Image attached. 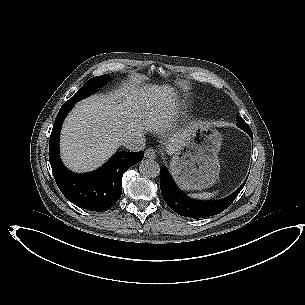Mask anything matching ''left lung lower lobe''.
Here are the masks:
<instances>
[{
    "instance_id": "left-lung-lower-lobe-1",
    "label": "left lung lower lobe",
    "mask_w": 305,
    "mask_h": 305,
    "mask_svg": "<svg viewBox=\"0 0 305 305\" xmlns=\"http://www.w3.org/2000/svg\"><path fill=\"white\" fill-rule=\"evenodd\" d=\"M160 189L164 201L177 214L185 217L204 218L224 211L237 197L242 186L223 201H195L186 197L177 189L167 169L163 166L161 168ZM192 212L194 213L192 214Z\"/></svg>"
}]
</instances>
